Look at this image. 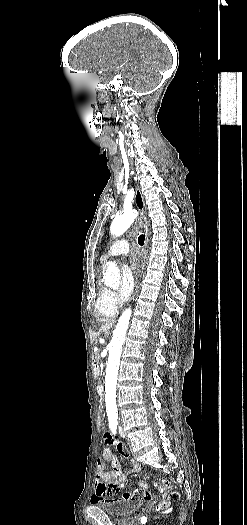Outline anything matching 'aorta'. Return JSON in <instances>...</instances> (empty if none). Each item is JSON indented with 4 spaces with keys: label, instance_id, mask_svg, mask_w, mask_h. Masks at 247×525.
<instances>
[{
    "label": "aorta",
    "instance_id": "aorta-1",
    "mask_svg": "<svg viewBox=\"0 0 247 525\" xmlns=\"http://www.w3.org/2000/svg\"><path fill=\"white\" fill-rule=\"evenodd\" d=\"M138 212L136 210H126L120 216H117L110 227L113 236L122 235L134 222ZM104 283L112 288H116L120 283V273L117 265L109 262L103 275ZM131 309H126L120 316L113 337L109 343V356L105 376V402L106 412L110 422H117L118 409L116 405V385L118 379L120 357L122 354L123 344L126 338V332L129 326Z\"/></svg>",
    "mask_w": 247,
    "mask_h": 525
}]
</instances>
